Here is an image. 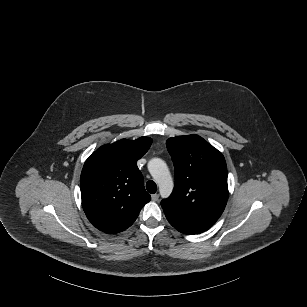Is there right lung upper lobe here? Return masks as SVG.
Wrapping results in <instances>:
<instances>
[{
    "label": "right lung upper lobe",
    "mask_w": 307,
    "mask_h": 307,
    "mask_svg": "<svg viewBox=\"0 0 307 307\" xmlns=\"http://www.w3.org/2000/svg\"><path fill=\"white\" fill-rule=\"evenodd\" d=\"M152 139H122L101 146L85 162L80 189L82 206L99 230L114 234L133 224L142 207L151 200L137 167Z\"/></svg>",
    "instance_id": "cb5924a9"
}]
</instances>
